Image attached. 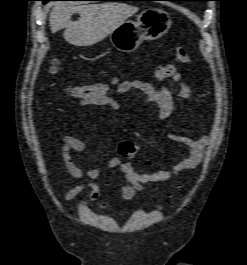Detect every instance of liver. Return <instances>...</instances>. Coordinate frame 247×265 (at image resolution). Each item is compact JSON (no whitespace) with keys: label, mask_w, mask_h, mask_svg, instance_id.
I'll return each mask as SVG.
<instances>
[{"label":"liver","mask_w":247,"mask_h":265,"mask_svg":"<svg viewBox=\"0 0 247 265\" xmlns=\"http://www.w3.org/2000/svg\"><path fill=\"white\" fill-rule=\"evenodd\" d=\"M139 9L123 3L75 5L58 2L50 11L52 33L65 28L64 39L74 46H90L111 34ZM80 18L72 22L73 14Z\"/></svg>","instance_id":"obj_1"}]
</instances>
